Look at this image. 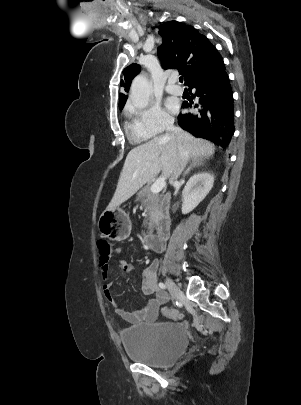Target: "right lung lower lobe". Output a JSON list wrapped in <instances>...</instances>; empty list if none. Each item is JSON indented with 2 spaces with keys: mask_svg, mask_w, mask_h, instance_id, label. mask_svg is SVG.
<instances>
[{
  "mask_svg": "<svg viewBox=\"0 0 301 405\" xmlns=\"http://www.w3.org/2000/svg\"><path fill=\"white\" fill-rule=\"evenodd\" d=\"M189 90L196 89L200 105L194 106L197 113L178 116V123L193 135L213 141L223 148L228 147L234 134V105L228 75L223 59L209 73L191 81ZM191 106V105H190ZM184 108L189 107L183 104Z\"/></svg>",
  "mask_w": 301,
  "mask_h": 405,
  "instance_id": "right-lung-lower-lobe-1",
  "label": "right lung lower lobe"
}]
</instances>
